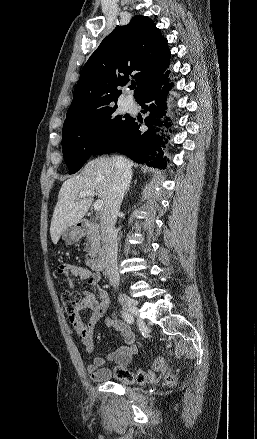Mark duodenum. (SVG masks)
<instances>
[{"instance_id": "duodenum-1", "label": "duodenum", "mask_w": 257, "mask_h": 439, "mask_svg": "<svg viewBox=\"0 0 257 439\" xmlns=\"http://www.w3.org/2000/svg\"><path fill=\"white\" fill-rule=\"evenodd\" d=\"M100 225L99 223L92 221H81L78 224V235L84 236L86 234H91L92 243L95 248V253L90 260V266L96 273L102 272L104 268V255L101 250L100 240H99Z\"/></svg>"}]
</instances>
